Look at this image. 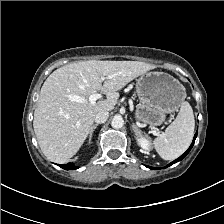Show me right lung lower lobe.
<instances>
[{"label": "right lung lower lobe", "mask_w": 224, "mask_h": 224, "mask_svg": "<svg viewBox=\"0 0 224 224\" xmlns=\"http://www.w3.org/2000/svg\"><path fill=\"white\" fill-rule=\"evenodd\" d=\"M60 167H62L65 170H72V169H77L79 167L74 166L72 163H68V164H63V165H59Z\"/></svg>", "instance_id": "right-lung-lower-lobe-1"}]
</instances>
